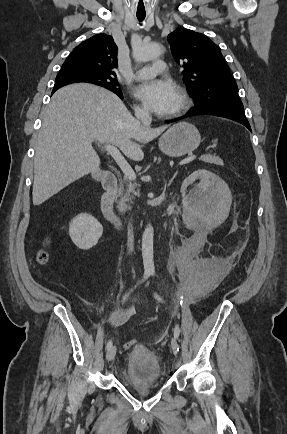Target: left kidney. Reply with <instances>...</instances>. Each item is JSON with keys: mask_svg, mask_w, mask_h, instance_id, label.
<instances>
[{"mask_svg": "<svg viewBox=\"0 0 287 434\" xmlns=\"http://www.w3.org/2000/svg\"><path fill=\"white\" fill-rule=\"evenodd\" d=\"M200 179L196 187L186 195V188ZM184 209H190L200 218L207 216L215 223L225 219L232 203V195L227 184L214 173L197 170L188 176L181 186Z\"/></svg>", "mask_w": 287, "mask_h": 434, "instance_id": "left-kidney-1", "label": "left kidney"}]
</instances>
